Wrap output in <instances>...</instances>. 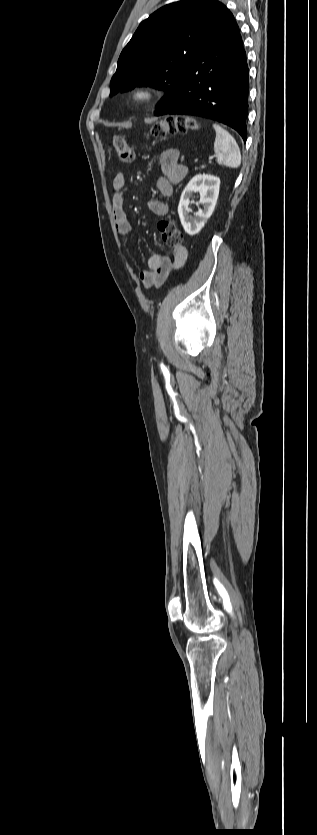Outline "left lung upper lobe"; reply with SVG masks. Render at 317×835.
Segmentation results:
<instances>
[{
  "label": "left lung upper lobe",
  "instance_id": "1",
  "mask_svg": "<svg viewBox=\"0 0 317 835\" xmlns=\"http://www.w3.org/2000/svg\"><path fill=\"white\" fill-rule=\"evenodd\" d=\"M227 11L216 0H183L154 12L123 49L110 96L149 85L166 90L157 109L176 101L188 66Z\"/></svg>",
  "mask_w": 317,
  "mask_h": 835
}]
</instances>
